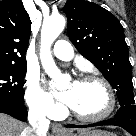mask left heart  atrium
<instances>
[{"label":"left heart atrium","instance_id":"39dd6f15","mask_svg":"<svg viewBox=\"0 0 136 136\" xmlns=\"http://www.w3.org/2000/svg\"><path fill=\"white\" fill-rule=\"evenodd\" d=\"M79 82H74L72 84V87L68 89L67 91L60 93L59 97L62 101L67 103L69 106H72L75 99V88L77 87Z\"/></svg>","mask_w":136,"mask_h":136}]
</instances>
